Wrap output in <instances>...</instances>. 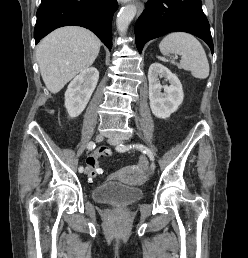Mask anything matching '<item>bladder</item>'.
<instances>
[{
	"mask_svg": "<svg viewBox=\"0 0 248 258\" xmlns=\"http://www.w3.org/2000/svg\"><path fill=\"white\" fill-rule=\"evenodd\" d=\"M142 197L141 189L115 182H105L93 190L95 201L118 206H129Z\"/></svg>",
	"mask_w": 248,
	"mask_h": 258,
	"instance_id": "31cf9c89",
	"label": "bladder"
}]
</instances>
